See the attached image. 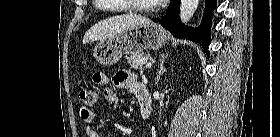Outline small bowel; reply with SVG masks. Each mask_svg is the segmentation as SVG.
Here are the masks:
<instances>
[{"mask_svg":"<svg viewBox=\"0 0 280 137\" xmlns=\"http://www.w3.org/2000/svg\"><path fill=\"white\" fill-rule=\"evenodd\" d=\"M93 81L104 87L103 96L107 103L116 109L119 103V95L109 87L111 83L119 89H124L129 93L137 96V90L140 86V82L136 79L135 75L128 70L121 69L116 71L113 76H109L104 72H97L93 76ZM80 116L85 122V132L86 137H99L95 127L93 126V121L95 119V113L88 108L80 109ZM144 137V136H142Z\"/></svg>","mask_w":280,"mask_h":137,"instance_id":"small-bowel-1","label":"small bowel"}]
</instances>
